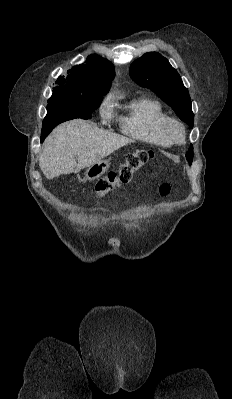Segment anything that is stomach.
<instances>
[{
    "label": "stomach",
    "mask_w": 232,
    "mask_h": 399,
    "mask_svg": "<svg viewBox=\"0 0 232 399\" xmlns=\"http://www.w3.org/2000/svg\"><path fill=\"white\" fill-rule=\"evenodd\" d=\"M110 168V160H100L96 162L93 166H90L84 174L85 180H97L102 174H105Z\"/></svg>",
    "instance_id": "1"
}]
</instances>
